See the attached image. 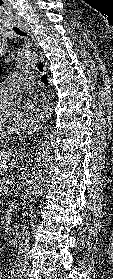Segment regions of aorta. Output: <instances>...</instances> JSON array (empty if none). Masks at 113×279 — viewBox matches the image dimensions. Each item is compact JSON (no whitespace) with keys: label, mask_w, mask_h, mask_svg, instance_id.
Instances as JSON below:
<instances>
[{"label":"aorta","mask_w":113,"mask_h":279,"mask_svg":"<svg viewBox=\"0 0 113 279\" xmlns=\"http://www.w3.org/2000/svg\"><path fill=\"white\" fill-rule=\"evenodd\" d=\"M36 52L25 51L17 58L19 68H30L35 65ZM54 142L50 135H44L38 143L37 158L30 181V194L35 198H40L46 191L49 184L51 170L53 167Z\"/></svg>","instance_id":"obj_1"}]
</instances>
